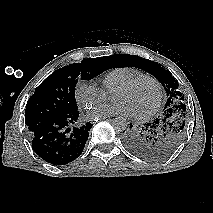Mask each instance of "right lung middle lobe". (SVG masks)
I'll return each instance as SVG.
<instances>
[{
	"label": "right lung middle lobe",
	"mask_w": 213,
	"mask_h": 213,
	"mask_svg": "<svg viewBox=\"0 0 213 213\" xmlns=\"http://www.w3.org/2000/svg\"><path fill=\"white\" fill-rule=\"evenodd\" d=\"M110 68L107 57L88 58L48 76L27 102L25 122L29 131L41 122L78 111L75 99L78 80H90Z\"/></svg>",
	"instance_id": "dd1d6c3e"
}]
</instances>
